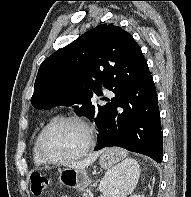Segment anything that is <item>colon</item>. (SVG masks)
I'll list each match as a JSON object with an SVG mask.
<instances>
[{"label":"colon","mask_w":191,"mask_h":197,"mask_svg":"<svg viewBox=\"0 0 191 197\" xmlns=\"http://www.w3.org/2000/svg\"><path fill=\"white\" fill-rule=\"evenodd\" d=\"M30 179L32 193L41 195L48 185V179L41 173H32Z\"/></svg>","instance_id":"5ec220e1"}]
</instances>
